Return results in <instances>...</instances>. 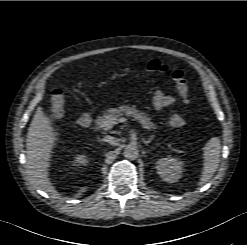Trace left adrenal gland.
Here are the masks:
<instances>
[{
	"label": "left adrenal gland",
	"mask_w": 247,
	"mask_h": 245,
	"mask_svg": "<svg viewBox=\"0 0 247 245\" xmlns=\"http://www.w3.org/2000/svg\"><path fill=\"white\" fill-rule=\"evenodd\" d=\"M154 139V136H151L148 140H143L144 144H149Z\"/></svg>",
	"instance_id": "obj_1"
}]
</instances>
